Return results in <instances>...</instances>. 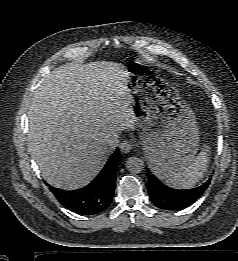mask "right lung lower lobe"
I'll list each match as a JSON object with an SVG mask.
<instances>
[{
	"label": "right lung lower lobe",
	"instance_id": "98d812e1",
	"mask_svg": "<svg viewBox=\"0 0 238 261\" xmlns=\"http://www.w3.org/2000/svg\"><path fill=\"white\" fill-rule=\"evenodd\" d=\"M120 160V153L117 149L104 169L88 186L74 191H64L57 188H51V191L62 205L73 212L81 215L102 212L112 202L116 186V167Z\"/></svg>",
	"mask_w": 238,
	"mask_h": 261
}]
</instances>
